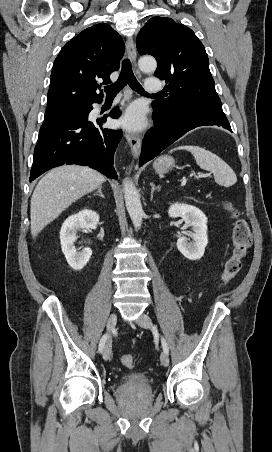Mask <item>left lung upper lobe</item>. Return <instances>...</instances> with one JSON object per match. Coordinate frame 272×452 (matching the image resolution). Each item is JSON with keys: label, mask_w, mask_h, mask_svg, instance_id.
<instances>
[{"label": "left lung upper lobe", "mask_w": 272, "mask_h": 452, "mask_svg": "<svg viewBox=\"0 0 272 452\" xmlns=\"http://www.w3.org/2000/svg\"><path fill=\"white\" fill-rule=\"evenodd\" d=\"M136 44L141 55L156 58L154 75L167 84L168 98L154 101L156 108L169 114L196 107L222 110L205 48L190 28L171 18L153 17L139 32Z\"/></svg>", "instance_id": "obj_1"}]
</instances>
